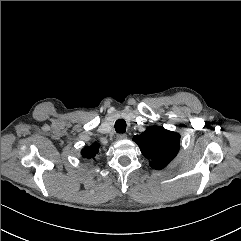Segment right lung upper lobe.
<instances>
[{
  "label": "right lung upper lobe",
  "mask_w": 241,
  "mask_h": 241,
  "mask_svg": "<svg viewBox=\"0 0 241 241\" xmlns=\"http://www.w3.org/2000/svg\"><path fill=\"white\" fill-rule=\"evenodd\" d=\"M99 151L98 145L97 144H93L90 147H85L82 150V155L86 158H93Z\"/></svg>",
  "instance_id": "obj_1"
}]
</instances>
